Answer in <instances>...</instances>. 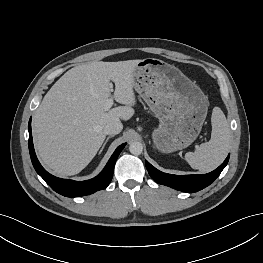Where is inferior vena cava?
Listing matches in <instances>:
<instances>
[{"label": "inferior vena cava", "mask_w": 263, "mask_h": 263, "mask_svg": "<svg viewBox=\"0 0 263 263\" xmlns=\"http://www.w3.org/2000/svg\"><path fill=\"white\" fill-rule=\"evenodd\" d=\"M122 129H123V125L120 121H113V122L108 123L104 127V132L106 134L116 135L120 133Z\"/></svg>", "instance_id": "obj_1"}]
</instances>
